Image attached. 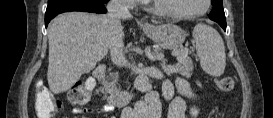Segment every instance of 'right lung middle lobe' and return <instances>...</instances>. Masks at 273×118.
Instances as JSON below:
<instances>
[{
    "instance_id": "dd1d6c3e",
    "label": "right lung middle lobe",
    "mask_w": 273,
    "mask_h": 118,
    "mask_svg": "<svg viewBox=\"0 0 273 118\" xmlns=\"http://www.w3.org/2000/svg\"><path fill=\"white\" fill-rule=\"evenodd\" d=\"M100 2H103V3H107L109 0H98Z\"/></svg>"
}]
</instances>
